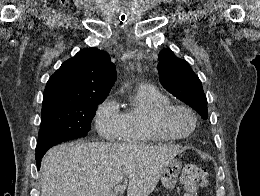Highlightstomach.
Returning <instances> with one entry per match:
<instances>
[{
    "mask_svg": "<svg viewBox=\"0 0 260 196\" xmlns=\"http://www.w3.org/2000/svg\"><path fill=\"white\" fill-rule=\"evenodd\" d=\"M181 168L182 162L180 160H174V158L170 160L161 176V184L166 190H173L175 188Z\"/></svg>",
    "mask_w": 260,
    "mask_h": 196,
    "instance_id": "1",
    "label": "stomach"
}]
</instances>
